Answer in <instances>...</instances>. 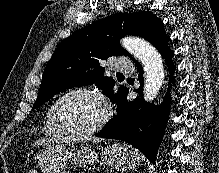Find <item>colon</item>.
Wrapping results in <instances>:
<instances>
[{"instance_id":"colon-1","label":"colon","mask_w":219,"mask_h":173,"mask_svg":"<svg viewBox=\"0 0 219 173\" xmlns=\"http://www.w3.org/2000/svg\"><path fill=\"white\" fill-rule=\"evenodd\" d=\"M28 173H37V171H35V170H30V171H28Z\"/></svg>"}]
</instances>
